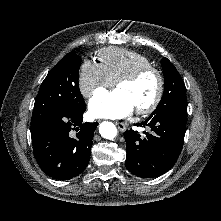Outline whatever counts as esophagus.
<instances>
[{
	"mask_svg": "<svg viewBox=\"0 0 221 221\" xmlns=\"http://www.w3.org/2000/svg\"><path fill=\"white\" fill-rule=\"evenodd\" d=\"M116 125H117L118 129H119L121 132L126 131V126H125L124 123L116 122Z\"/></svg>",
	"mask_w": 221,
	"mask_h": 221,
	"instance_id": "1",
	"label": "esophagus"
}]
</instances>
